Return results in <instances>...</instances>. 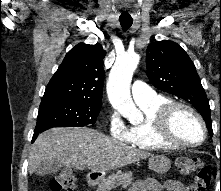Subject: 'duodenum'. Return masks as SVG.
<instances>
[{
    "label": "duodenum",
    "mask_w": 221,
    "mask_h": 191,
    "mask_svg": "<svg viewBox=\"0 0 221 191\" xmlns=\"http://www.w3.org/2000/svg\"><path fill=\"white\" fill-rule=\"evenodd\" d=\"M97 181V175L89 174L86 178V182L88 185H92Z\"/></svg>",
    "instance_id": "duodenum-1"
}]
</instances>
